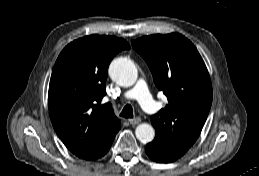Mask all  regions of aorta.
<instances>
[{
  "instance_id": "obj_1",
  "label": "aorta",
  "mask_w": 259,
  "mask_h": 176,
  "mask_svg": "<svg viewBox=\"0 0 259 176\" xmlns=\"http://www.w3.org/2000/svg\"><path fill=\"white\" fill-rule=\"evenodd\" d=\"M137 68L128 58L114 59L109 66L110 78L124 87L132 86L137 80ZM136 138L142 143H149L155 137L154 128L147 123L139 124L135 129Z\"/></svg>"
}]
</instances>
